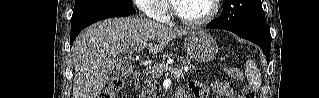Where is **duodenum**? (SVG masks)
I'll return each instance as SVG.
<instances>
[{"label":"duodenum","mask_w":319,"mask_h":98,"mask_svg":"<svg viewBox=\"0 0 319 98\" xmlns=\"http://www.w3.org/2000/svg\"><path fill=\"white\" fill-rule=\"evenodd\" d=\"M141 74H142V70L140 67H137L133 74H132V77L134 80H139L140 77H141ZM175 98H185V95H184V91L182 88H178L177 91H176V94H175Z\"/></svg>","instance_id":"410a0bca"}]
</instances>
